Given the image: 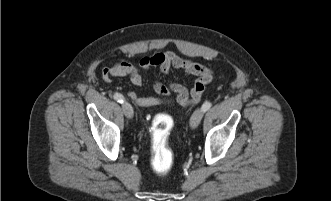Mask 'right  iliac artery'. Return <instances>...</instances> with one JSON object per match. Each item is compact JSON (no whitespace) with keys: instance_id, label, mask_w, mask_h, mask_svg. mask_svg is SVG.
<instances>
[{"instance_id":"82829eb1","label":"right iliac artery","mask_w":331,"mask_h":201,"mask_svg":"<svg viewBox=\"0 0 331 201\" xmlns=\"http://www.w3.org/2000/svg\"><path fill=\"white\" fill-rule=\"evenodd\" d=\"M113 97L119 103H123L124 102V97L120 93H115Z\"/></svg>"}]
</instances>
